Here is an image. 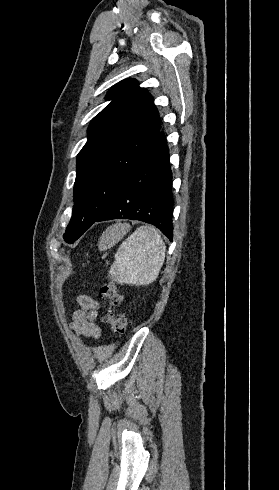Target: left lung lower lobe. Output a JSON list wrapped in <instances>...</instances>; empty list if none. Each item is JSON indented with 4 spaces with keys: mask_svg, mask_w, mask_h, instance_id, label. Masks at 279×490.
Masks as SVG:
<instances>
[{
    "mask_svg": "<svg viewBox=\"0 0 279 490\" xmlns=\"http://www.w3.org/2000/svg\"><path fill=\"white\" fill-rule=\"evenodd\" d=\"M172 172L169 150L160 131L126 177L109 209L96 221L133 219L173 237Z\"/></svg>",
    "mask_w": 279,
    "mask_h": 490,
    "instance_id": "0a47b994",
    "label": "left lung lower lobe"
}]
</instances>
